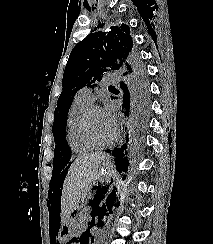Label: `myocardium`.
<instances>
[{
  "label": "myocardium",
  "instance_id": "f54148a6",
  "mask_svg": "<svg viewBox=\"0 0 213 244\" xmlns=\"http://www.w3.org/2000/svg\"><path fill=\"white\" fill-rule=\"evenodd\" d=\"M95 109H100V106L96 105V104H91L85 111L84 115H83V120H82V129H83V133L85 135V137L91 142L93 143L95 146H107L112 144L116 138H117V129L116 127L114 128L113 134L110 138L106 139V140H100L98 139L92 132L91 130V126H90V115L91 112Z\"/></svg>",
  "mask_w": 213,
  "mask_h": 244
}]
</instances>
